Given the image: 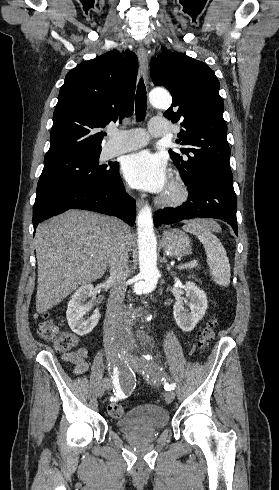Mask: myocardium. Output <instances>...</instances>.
Listing matches in <instances>:
<instances>
[{"label": "myocardium", "mask_w": 279, "mask_h": 490, "mask_svg": "<svg viewBox=\"0 0 279 490\" xmlns=\"http://www.w3.org/2000/svg\"><path fill=\"white\" fill-rule=\"evenodd\" d=\"M189 196L188 188L182 178L174 173L166 193L161 198L164 207L174 208L184 203Z\"/></svg>", "instance_id": "myocardium-1"}]
</instances>
